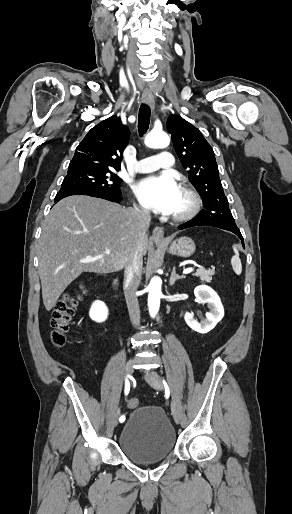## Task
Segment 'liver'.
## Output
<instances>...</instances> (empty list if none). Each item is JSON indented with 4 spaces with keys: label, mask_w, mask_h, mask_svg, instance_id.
<instances>
[{
    "label": "liver",
    "mask_w": 292,
    "mask_h": 514,
    "mask_svg": "<svg viewBox=\"0 0 292 514\" xmlns=\"http://www.w3.org/2000/svg\"><path fill=\"white\" fill-rule=\"evenodd\" d=\"M100 198L69 196L52 208L42 224L38 248L43 304L50 312L67 286L82 272H119L135 248L136 218ZM148 238L142 240L145 256ZM110 250V254H103Z\"/></svg>",
    "instance_id": "1"
}]
</instances>
